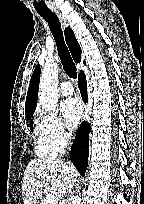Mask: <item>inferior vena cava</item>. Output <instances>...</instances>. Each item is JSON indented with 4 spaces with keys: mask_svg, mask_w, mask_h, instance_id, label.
Instances as JSON below:
<instances>
[{
    "mask_svg": "<svg viewBox=\"0 0 144 204\" xmlns=\"http://www.w3.org/2000/svg\"><path fill=\"white\" fill-rule=\"evenodd\" d=\"M67 139H71V135L70 134L67 136Z\"/></svg>",
    "mask_w": 144,
    "mask_h": 204,
    "instance_id": "602c4592",
    "label": "inferior vena cava"
}]
</instances>
